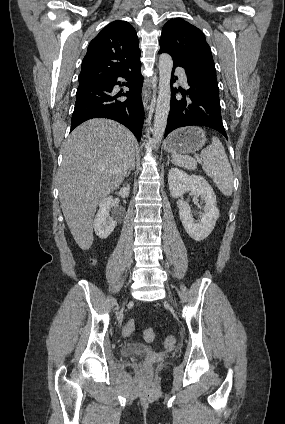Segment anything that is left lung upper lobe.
<instances>
[{"mask_svg":"<svg viewBox=\"0 0 285 424\" xmlns=\"http://www.w3.org/2000/svg\"><path fill=\"white\" fill-rule=\"evenodd\" d=\"M160 50L186 67L199 64L215 67L203 32L181 18L171 19L164 25Z\"/></svg>","mask_w":285,"mask_h":424,"instance_id":"5c2ea615","label":"left lung upper lobe"}]
</instances>
